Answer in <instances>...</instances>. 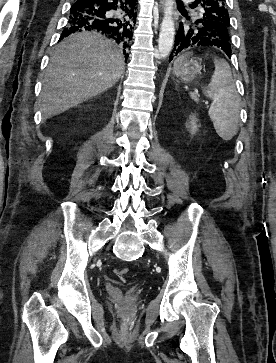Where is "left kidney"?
<instances>
[{"instance_id":"1","label":"left kidney","mask_w":276,"mask_h":363,"mask_svg":"<svg viewBox=\"0 0 276 363\" xmlns=\"http://www.w3.org/2000/svg\"><path fill=\"white\" fill-rule=\"evenodd\" d=\"M197 118L192 115L191 118H190V123H191V134H195L196 131H197Z\"/></svg>"}]
</instances>
